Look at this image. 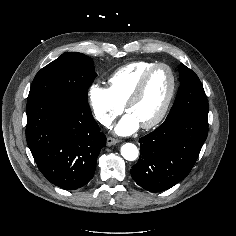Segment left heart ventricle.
Returning <instances> with one entry per match:
<instances>
[{
    "instance_id": "left-heart-ventricle-1",
    "label": "left heart ventricle",
    "mask_w": 236,
    "mask_h": 236,
    "mask_svg": "<svg viewBox=\"0 0 236 236\" xmlns=\"http://www.w3.org/2000/svg\"><path fill=\"white\" fill-rule=\"evenodd\" d=\"M171 79L165 68L155 70L149 77L141 97L128 109L140 124L153 120L161 111L168 96Z\"/></svg>"
}]
</instances>
